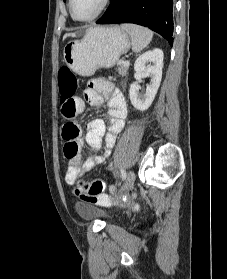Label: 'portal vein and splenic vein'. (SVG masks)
I'll list each match as a JSON object with an SVG mask.
<instances>
[{
    "label": "portal vein and splenic vein",
    "mask_w": 227,
    "mask_h": 279,
    "mask_svg": "<svg viewBox=\"0 0 227 279\" xmlns=\"http://www.w3.org/2000/svg\"><path fill=\"white\" fill-rule=\"evenodd\" d=\"M123 65L124 66H129V61H127V60L123 61Z\"/></svg>",
    "instance_id": "18ae733b"
}]
</instances>
